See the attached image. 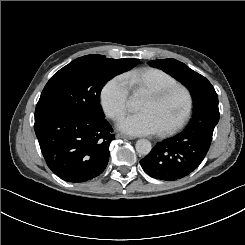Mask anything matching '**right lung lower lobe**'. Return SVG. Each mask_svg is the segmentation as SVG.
Wrapping results in <instances>:
<instances>
[{
  "mask_svg": "<svg viewBox=\"0 0 245 245\" xmlns=\"http://www.w3.org/2000/svg\"><path fill=\"white\" fill-rule=\"evenodd\" d=\"M34 129L48 167L61 179L85 182L106 168L115 135L104 118L50 112L35 116Z\"/></svg>",
  "mask_w": 245,
  "mask_h": 245,
  "instance_id": "obj_1",
  "label": "right lung lower lobe"
}]
</instances>
